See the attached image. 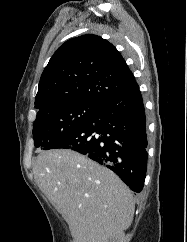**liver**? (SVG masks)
Returning <instances> with one entry per match:
<instances>
[{
    "mask_svg": "<svg viewBox=\"0 0 187 242\" xmlns=\"http://www.w3.org/2000/svg\"><path fill=\"white\" fill-rule=\"evenodd\" d=\"M33 174L69 224L73 242H107L131 225L132 192L87 157L66 149L44 151L33 163Z\"/></svg>",
    "mask_w": 187,
    "mask_h": 242,
    "instance_id": "obj_1",
    "label": "liver"
}]
</instances>
